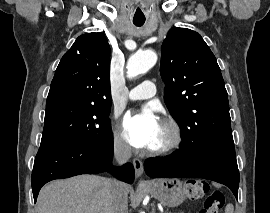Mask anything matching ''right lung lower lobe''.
I'll use <instances>...</instances> for the list:
<instances>
[{
    "mask_svg": "<svg viewBox=\"0 0 270 213\" xmlns=\"http://www.w3.org/2000/svg\"><path fill=\"white\" fill-rule=\"evenodd\" d=\"M113 136L104 140L61 143L46 142L40 145L32 171V190L36 202L41 187L55 179L69 178L80 174H96L110 171L127 183L134 180L130 163L113 167Z\"/></svg>",
    "mask_w": 270,
    "mask_h": 213,
    "instance_id": "right-lung-lower-lobe-1",
    "label": "right lung lower lobe"
}]
</instances>
